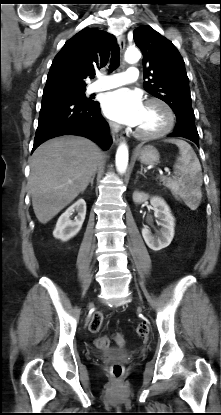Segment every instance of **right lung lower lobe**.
<instances>
[{"label": "right lung lower lobe", "instance_id": "98d812e1", "mask_svg": "<svg viewBox=\"0 0 221 415\" xmlns=\"http://www.w3.org/2000/svg\"><path fill=\"white\" fill-rule=\"evenodd\" d=\"M79 135L109 149V127L100 113L99 102L69 97H43L32 152L44 141L62 135Z\"/></svg>", "mask_w": 221, "mask_h": 415}]
</instances>
